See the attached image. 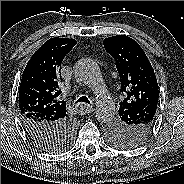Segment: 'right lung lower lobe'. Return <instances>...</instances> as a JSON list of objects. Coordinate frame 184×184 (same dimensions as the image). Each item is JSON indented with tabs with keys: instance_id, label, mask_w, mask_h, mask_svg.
Listing matches in <instances>:
<instances>
[{
	"instance_id": "98d812e1",
	"label": "right lung lower lobe",
	"mask_w": 184,
	"mask_h": 184,
	"mask_svg": "<svg viewBox=\"0 0 184 184\" xmlns=\"http://www.w3.org/2000/svg\"><path fill=\"white\" fill-rule=\"evenodd\" d=\"M21 120L28 136L44 150H48L50 146L59 145L67 131L74 132L73 121L67 117L49 121L42 116L27 113L21 115Z\"/></svg>"
}]
</instances>
